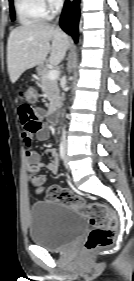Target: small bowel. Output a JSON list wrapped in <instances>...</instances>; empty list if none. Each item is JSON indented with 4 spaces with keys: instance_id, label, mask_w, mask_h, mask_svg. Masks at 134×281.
I'll list each match as a JSON object with an SVG mask.
<instances>
[{
    "instance_id": "1",
    "label": "small bowel",
    "mask_w": 134,
    "mask_h": 281,
    "mask_svg": "<svg viewBox=\"0 0 134 281\" xmlns=\"http://www.w3.org/2000/svg\"><path fill=\"white\" fill-rule=\"evenodd\" d=\"M22 97H25L24 92H20ZM45 112L43 109L35 107L34 104H29L23 101L18 107V116L23 126L22 137L24 140L25 155L29 170L37 168H45L51 172L58 170V154L55 149H47L51 160L43 162L41 156L35 151L32 144V137L35 136L39 141H45L50 136L49 127L43 122Z\"/></svg>"
}]
</instances>
